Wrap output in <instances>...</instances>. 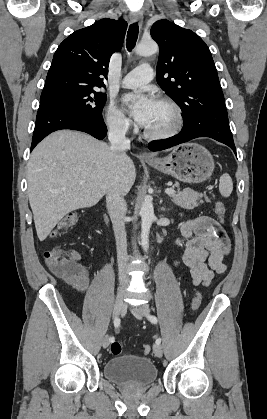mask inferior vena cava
Returning <instances> with one entry per match:
<instances>
[{
	"label": "inferior vena cava",
	"mask_w": 267,
	"mask_h": 419,
	"mask_svg": "<svg viewBox=\"0 0 267 419\" xmlns=\"http://www.w3.org/2000/svg\"><path fill=\"white\" fill-rule=\"evenodd\" d=\"M126 132L127 128L121 121L114 122L109 127L108 139L111 144L110 149L117 155L130 149V140L126 138ZM124 195V186L119 181L113 180L109 183L106 189V206L113 224L117 247L119 281L123 288L129 282L127 240L124 221L127 206Z\"/></svg>",
	"instance_id": "inferior-vena-cava-1"
}]
</instances>
